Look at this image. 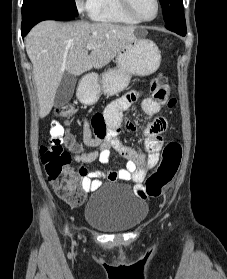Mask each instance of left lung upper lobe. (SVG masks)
Listing matches in <instances>:
<instances>
[{
    "instance_id": "obj_1",
    "label": "left lung upper lobe",
    "mask_w": 227,
    "mask_h": 279,
    "mask_svg": "<svg viewBox=\"0 0 227 279\" xmlns=\"http://www.w3.org/2000/svg\"><path fill=\"white\" fill-rule=\"evenodd\" d=\"M166 25L186 26L182 0H160Z\"/></svg>"
}]
</instances>
